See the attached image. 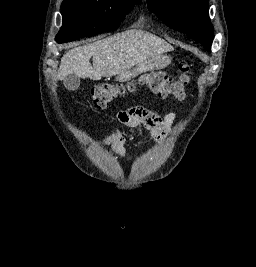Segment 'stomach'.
<instances>
[{"label":"stomach","mask_w":256,"mask_h":267,"mask_svg":"<svg viewBox=\"0 0 256 267\" xmlns=\"http://www.w3.org/2000/svg\"><path fill=\"white\" fill-rule=\"evenodd\" d=\"M164 62H138V67H168L171 64L170 56H161Z\"/></svg>","instance_id":"1"}]
</instances>
